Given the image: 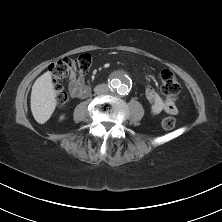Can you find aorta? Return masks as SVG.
I'll use <instances>...</instances> for the list:
<instances>
[{
    "label": "aorta",
    "mask_w": 222,
    "mask_h": 222,
    "mask_svg": "<svg viewBox=\"0 0 222 222\" xmlns=\"http://www.w3.org/2000/svg\"><path fill=\"white\" fill-rule=\"evenodd\" d=\"M130 78L125 73H119L110 81L111 89L119 95H126L130 91Z\"/></svg>",
    "instance_id": "762f6f07"
}]
</instances>
